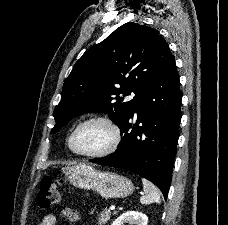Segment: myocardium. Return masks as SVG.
<instances>
[{"instance_id":"obj_1","label":"myocardium","mask_w":228,"mask_h":225,"mask_svg":"<svg viewBox=\"0 0 228 225\" xmlns=\"http://www.w3.org/2000/svg\"><path fill=\"white\" fill-rule=\"evenodd\" d=\"M97 122L109 130L111 134V142L109 146L102 150V151H96V152H79L72 148L71 140L75 132L84 126L85 124ZM121 143V132L118 127V125L113 122L111 119L105 117V116H99V115H92L85 117L81 120H79L73 127L67 132L65 139H64V145L66 150L73 156L76 157H83V158H104L111 154H113L120 146Z\"/></svg>"}]
</instances>
